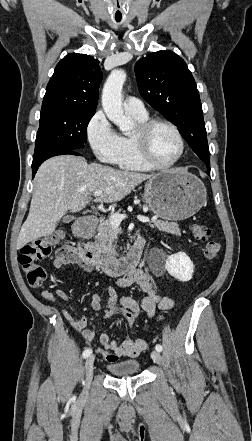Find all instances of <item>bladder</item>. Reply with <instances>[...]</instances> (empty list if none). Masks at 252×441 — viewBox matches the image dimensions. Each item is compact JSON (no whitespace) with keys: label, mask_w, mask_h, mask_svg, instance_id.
I'll return each mask as SVG.
<instances>
[{"label":"bladder","mask_w":252,"mask_h":441,"mask_svg":"<svg viewBox=\"0 0 252 441\" xmlns=\"http://www.w3.org/2000/svg\"><path fill=\"white\" fill-rule=\"evenodd\" d=\"M106 369L112 377L123 378L136 375L140 369V363L136 360H129L119 363H110Z\"/></svg>","instance_id":"bladder-1"}]
</instances>
